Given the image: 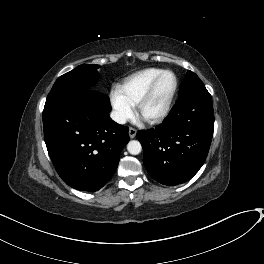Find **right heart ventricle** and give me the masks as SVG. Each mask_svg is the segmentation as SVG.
<instances>
[{
    "label": "right heart ventricle",
    "instance_id": "1",
    "mask_svg": "<svg viewBox=\"0 0 264 264\" xmlns=\"http://www.w3.org/2000/svg\"><path fill=\"white\" fill-rule=\"evenodd\" d=\"M163 70L159 68H145L128 76L119 86L121 94L133 105Z\"/></svg>",
    "mask_w": 264,
    "mask_h": 264
}]
</instances>
